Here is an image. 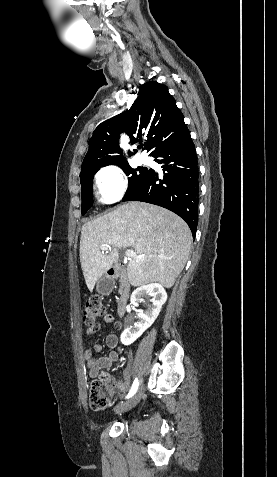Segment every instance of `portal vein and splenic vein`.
<instances>
[{
    "label": "portal vein and splenic vein",
    "instance_id": "portal-vein-and-splenic-vein-1",
    "mask_svg": "<svg viewBox=\"0 0 277 477\" xmlns=\"http://www.w3.org/2000/svg\"><path fill=\"white\" fill-rule=\"evenodd\" d=\"M108 248H110V246L108 244H104L100 247L101 250H107ZM125 255L127 257H131V258H138L139 256H137L136 252L134 250H131V249H127L126 252H125Z\"/></svg>",
    "mask_w": 277,
    "mask_h": 477
}]
</instances>
